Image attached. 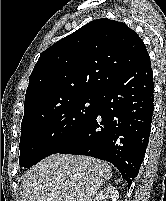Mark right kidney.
<instances>
[{
    "label": "right kidney",
    "instance_id": "obj_1",
    "mask_svg": "<svg viewBox=\"0 0 166 201\" xmlns=\"http://www.w3.org/2000/svg\"><path fill=\"white\" fill-rule=\"evenodd\" d=\"M119 198V193L114 186H108L101 190L93 201H107V199H111L112 201H117Z\"/></svg>",
    "mask_w": 166,
    "mask_h": 201
}]
</instances>
